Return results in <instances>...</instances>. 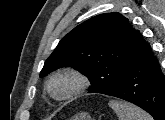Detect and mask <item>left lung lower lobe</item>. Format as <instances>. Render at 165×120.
I'll return each instance as SVG.
<instances>
[{
  "label": "left lung lower lobe",
  "instance_id": "obj_1",
  "mask_svg": "<svg viewBox=\"0 0 165 120\" xmlns=\"http://www.w3.org/2000/svg\"><path fill=\"white\" fill-rule=\"evenodd\" d=\"M107 95L141 107L155 120H165V76L143 38L129 58L121 84Z\"/></svg>",
  "mask_w": 165,
  "mask_h": 120
}]
</instances>
